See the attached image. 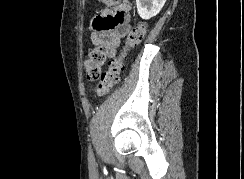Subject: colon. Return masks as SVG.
<instances>
[{
  "instance_id": "1",
  "label": "colon",
  "mask_w": 244,
  "mask_h": 179,
  "mask_svg": "<svg viewBox=\"0 0 244 179\" xmlns=\"http://www.w3.org/2000/svg\"><path fill=\"white\" fill-rule=\"evenodd\" d=\"M102 1L103 3H110L111 0ZM112 4L113 3H110V5ZM121 13V11H118L116 14L119 15ZM146 29L147 28L143 23H140L131 29L127 36L124 49L113 59L107 71L102 75L101 68L106 59V47L102 44H98L90 52V55L85 62V70L89 81L94 82L100 78V82L95 89L97 95L102 96L110 93L120 82V77L125 67L129 51L142 43L146 34Z\"/></svg>"
}]
</instances>
